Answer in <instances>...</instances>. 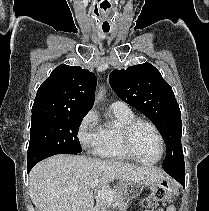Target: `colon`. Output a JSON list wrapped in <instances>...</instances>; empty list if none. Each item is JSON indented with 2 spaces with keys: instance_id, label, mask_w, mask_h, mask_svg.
Instances as JSON below:
<instances>
[{
  "instance_id": "1",
  "label": "colon",
  "mask_w": 209,
  "mask_h": 211,
  "mask_svg": "<svg viewBox=\"0 0 209 211\" xmlns=\"http://www.w3.org/2000/svg\"><path fill=\"white\" fill-rule=\"evenodd\" d=\"M169 192V187L167 185H163L149 196V198L146 200V203L154 204L160 200L166 199Z\"/></svg>"
}]
</instances>
